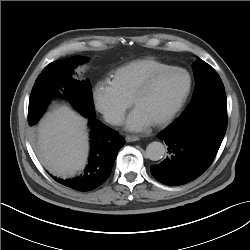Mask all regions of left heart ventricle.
Listing matches in <instances>:
<instances>
[{
	"label": "left heart ventricle",
	"instance_id": "b2bd125f",
	"mask_svg": "<svg viewBox=\"0 0 250 250\" xmlns=\"http://www.w3.org/2000/svg\"><path fill=\"white\" fill-rule=\"evenodd\" d=\"M187 87V76L172 71L161 76L135 104L152 123L163 118L177 104Z\"/></svg>",
	"mask_w": 250,
	"mask_h": 250
}]
</instances>
